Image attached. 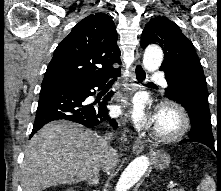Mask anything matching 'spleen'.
<instances>
[{"label": "spleen", "mask_w": 221, "mask_h": 191, "mask_svg": "<svg viewBox=\"0 0 221 191\" xmlns=\"http://www.w3.org/2000/svg\"><path fill=\"white\" fill-rule=\"evenodd\" d=\"M216 185L210 176H206L199 184L197 191H215Z\"/></svg>", "instance_id": "3e777b00"}]
</instances>
